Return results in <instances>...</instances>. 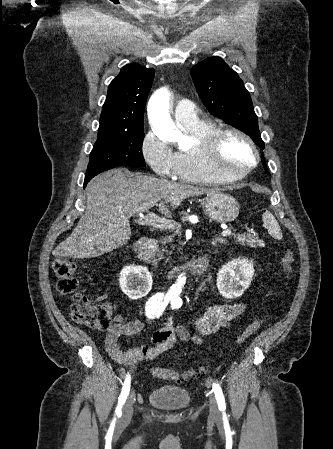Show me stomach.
Here are the masks:
<instances>
[{"label":"stomach","instance_id":"obj_1","mask_svg":"<svg viewBox=\"0 0 333 449\" xmlns=\"http://www.w3.org/2000/svg\"><path fill=\"white\" fill-rule=\"evenodd\" d=\"M202 207L205 214L211 220L219 223H227L235 220L240 209L234 197L219 191L208 194L202 200Z\"/></svg>","mask_w":333,"mask_h":449}]
</instances>
